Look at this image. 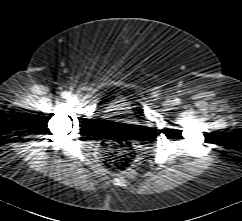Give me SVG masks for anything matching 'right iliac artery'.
Returning a JSON list of instances; mask_svg holds the SVG:
<instances>
[{
    "label": "right iliac artery",
    "instance_id": "right-iliac-artery-1",
    "mask_svg": "<svg viewBox=\"0 0 242 221\" xmlns=\"http://www.w3.org/2000/svg\"><path fill=\"white\" fill-rule=\"evenodd\" d=\"M61 97L62 98H68L69 97V93L64 91V92L61 93Z\"/></svg>",
    "mask_w": 242,
    "mask_h": 221
}]
</instances>
